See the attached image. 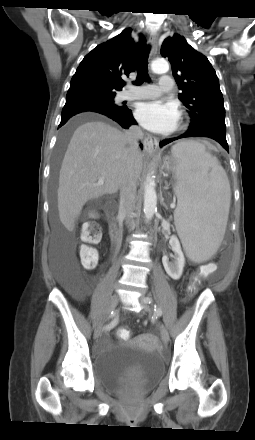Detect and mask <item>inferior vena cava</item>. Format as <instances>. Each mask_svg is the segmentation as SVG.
Instances as JSON below:
<instances>
[{
    "label": "inferior vena cava",
    "mask_w": 255,
    "mask_h": 440,
    "mask_svg": "<svg viewBox=\"0 0 255 440\" xmlns=\"http://www.w3.org/2000/svg\"><path fill=\"white\" fill-rule=\"evenodd\" d=\"M129 145V159L127 173L120 186V205L119 212L124 215L126 224L129 228L135 227V209H136V179L134 176L133 163L134 155L138 151V141L143 133L137 126H132L125 133Z\"/></svg>",
    "instance_id": "1"
}]
</instances>
